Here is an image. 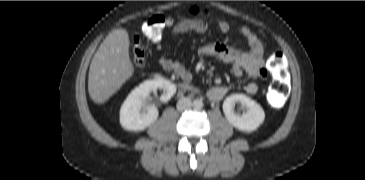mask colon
<instances>
[{
    "label": "colon",
    "instance_id": "obj_1",
    "mask_svg": "<svg viewBox=\"0 0 365 180\" xmlns=\"http://www.w3.org/2000/svg\"><path fill=\"white\" fill-rule=\"evenodd\" d=\"M193 15H206L198 9H192ZM166 20L162 15H155L149 18L143 27L144 35L151 41L156 42L162 38ZM131 59L135 68L140 69L144 66L146 52L142 42L137 39L133 43ZM269 70L273 77L272 83L267 92V100L271 107L278 109L285 103L289 86L287 83V68L284 55L280 52L273 53L269 59Z\"/></svg>",
    "mask_w": 365,
    "mask_h": 180
}]
</instances>
